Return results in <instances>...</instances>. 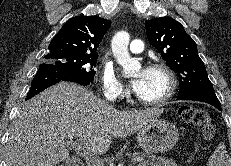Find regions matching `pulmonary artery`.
Returning <instances> with one entry per match:
<instances>
[{
	"instance_id": "e3ab8cb5",
	"label": "pulmonary artery",
	"mask_w": 231,
	"mask_h": 166,
	"mask_svg": "<svg viewBox=\"0 0 231 166\" xmlns=\"http://www.w3.org/2000/svg\"><path fill=\"white\" fill-rule=\"evenodd\" d=\"M144 49V43L141 40H132L129 44V50L133 54L141 53Z\"/></svg>"
}]
</instances>
